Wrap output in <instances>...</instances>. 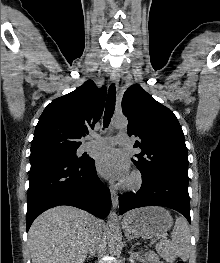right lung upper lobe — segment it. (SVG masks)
<instances>
[{
    "label": "right lung upper lobe",
    "instance_id": "1",
    "mask_svg": "<svg viewBox=\"0 0 220 263\" xmlns=\"http://www.w3.org/2000/svg\"><path fill=\"white\" fill-rule=\"evenodd\" d=\"M105 98L106 87L99 89L88 80L73 92L53 100L39 118L31 154L78 148L81 137L100 119Z\"/></svg>",
    "mask_w": 220,
    "mask_h": 263
}]
</instances>
